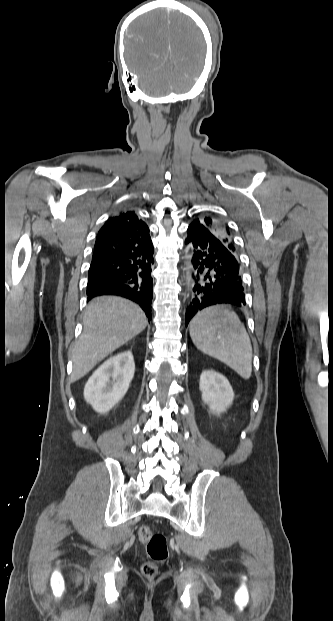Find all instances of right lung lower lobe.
<instances>
[{"instance_id": "1", "label": "right lung lower lobe", "mask_w": 333, "mask_h": 621, "mask_svg": "<svg viewBox=\"0 0 333 621\" xmlns=\"http://www.w3.org/2000/svg\"><path fill=\"white\" fill-rule=\"evenodd\" d=\"M153 245L128 250L115 246L94 249L88 272V300L117 295L136 302L151 319Z\"/></svg>"}]
</instances>
